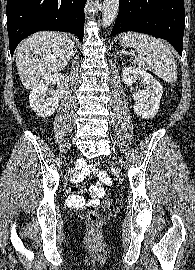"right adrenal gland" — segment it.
Here are the masks:
<instances>
[{"label": "right adrenal gland", "instance_id": "obj_1", "mask_svg": "<svg viewBox=\"0 0 195 270\" xmlns=\"http://www.w3.org/2000/svg\"><path fill=\"white\" fill-rule=\"evenodd\" d=\"M76 47H74V52H73V56H75V54H76Z\"/></svg>", "mask_w": 195, "mask_h": 270}]
</instances>
